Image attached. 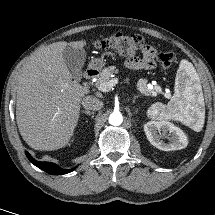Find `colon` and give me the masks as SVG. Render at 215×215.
I'll list each match as a JSON object with an SVG mask.
<instances>
[{"instance_id":"obj_1","label":"colon","mask_w":215,"mask_h":215,"mask_svg":"<svg viewBox=\"0 0 215 215\" xmlns=\"http://www.w3.org/2000/svg\"><path fill=\"white\" fill-rule=\"evenodd\" d=\"M96 48L102 50H113L121 55L133 56L144 47V40L139 35L115 34L113 36L98 40L95 43ZM162 67L168 68L175 61L173 52H163L158 56Z\"/></svg>"}]
</instances>
